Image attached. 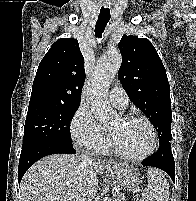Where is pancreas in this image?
Segmentation results:
<instances>
[{"label": "pancreas", "instance_id": "pancreas-1", "mask_svg": "<svg viewBox=\"0 0 196 201\" xmlns=\"http://www.w3.org/2000/svg\"><path fill=\"white\" fill-rule=\"evenodd\" d=\"M114 201H125L124 197L115 198Z\"/></svg>", "mask_w": 196, "mask_h": 201}]
</instances>
